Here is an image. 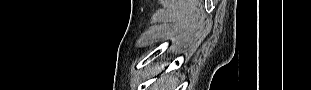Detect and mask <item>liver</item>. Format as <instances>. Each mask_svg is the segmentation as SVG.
I'll return each instance as SVG.
<instances>
[{"instance_id":"liver-1","label":"liver","mask_w":311,"mask_h":90,"mask_svg":"<svg viewBox=\"0 0 311 90\" xmlns=\"http://www.w3.org/2000/svg\"><path fill=\"white\" fill-rule=\"evenodd\" d=\"M169 78H165V80L167 81Z\"/></svg>"}]
</instances>
